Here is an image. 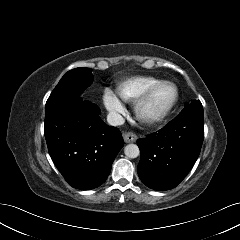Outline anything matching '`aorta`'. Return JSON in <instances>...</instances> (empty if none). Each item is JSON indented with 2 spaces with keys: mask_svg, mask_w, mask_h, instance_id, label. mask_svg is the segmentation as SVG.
Listing matches in <instances>:
<instances>
[{
  "mask_svg": "<svg viewBox=\"0 0 240 240\" xmlns=\"http://www.w3.org/2000/svg\"><path fill=\"white\" fill-rule=\"evenodd\" d=\"M124 153L128 158H136L139 156L140 150L136 144H128L124 148Z\"/></svg>",
  "mask_w": 240,
  "mask_h": 240,
  "instance_id": "762f6f07",
  "label": "aorta"
}]
</instances>
